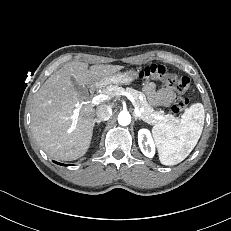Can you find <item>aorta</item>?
Wrapping results in <instances>:
<instances>
[{"label":"aorta","instance_id":"1","mask_svg":"<svg viewBox=\"0 0 231 231\" xmlns=\"http://www.w3.org/2000/svg\"><path fill=\"white\" fill-rule=\"evenodd\" d=\"M131 122V116L128 112L122 111L118 115V123L122 126H127Z\"/></svg>","mask_w":231,"mask_h":231}]
</instances>
